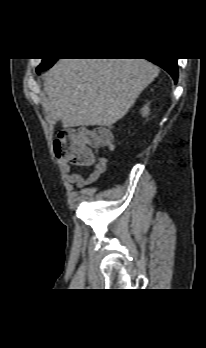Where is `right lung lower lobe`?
Masks as SVG:
<instances>
[{
    "mask_svg": "<svg viewBox=\"0 0 206 348\" xmlns=\"http://www.w3.org/2000/svg\"><path fill=\"white\" fill-rule=\"evenodd\" d=\"M149 61L155 63L156 65L160 66L164 70H166L174 79V82L177 83L178 78V69H177V59H171V58H162V59H152ZM48 69V68H47ZM46 70V69H44ZM39 73V72H38Z\"/></svg>",
    "mask_w": 206,
    "mask_h": 348,
    "instance_id": "98d812e1",
    "label": "right lung lower lobe"
}]
</instances>
